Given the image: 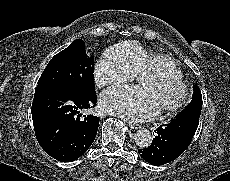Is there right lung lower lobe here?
I'll list each match as a JSON object with an SVG mask.
<instances>
[{
	"mask_svg": "<svg viewBox=\"0 0 230 181\" xmlns=\"http://www.w3.org/2000/svg\"><path fill=\"white\" fill-rule=\"evenodd\" d=\"M97 96L73 90L47 89L35 92L32 119L36 138L44 151L61 162L82 156L93 143L99 118L82 115L94 107Z\"/></svg>",
	"mask_w": 230,
	"mask_h": 181,
	"instance_id": "98d812e1",
	"label": "right lung lower lobe"
}]
</instances>
